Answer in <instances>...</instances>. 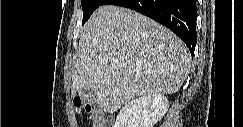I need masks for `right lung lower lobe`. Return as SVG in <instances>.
<instances>
[{
    "mask_svg": "<svg viewBox=\"0 0 243 127\" xmlns=\"http://www.w3.org/2000/svg\"><path fill=\"white\" fill-rule=\"evenodd\" d=\"M103 5L126 7L152 18L172 30L194 54L196 0H106Z\"/></svg>",
    "mask_w": 243,
    "mask_h": 127,
    "instance_id": "right-lung-lower-lobe-1",
    "label": "right lung lower lobe"
}]
</instances>
